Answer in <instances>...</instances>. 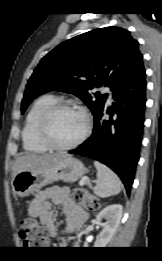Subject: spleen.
<instances>
[{
    "label": "spleen",
    "mask_w": 162,
    "mask_h": 261,
    "mask_svg": "<svg viewBox=\"0 0 162 261\" xmlns=\"http://www.w3.org/2000/svg\"><path fill=\"white\" fill-rule=\"evenodd\" d=\"M94 166L97 169L94 193L101 198L120 193L122 184L118 176L110 168L98 161H94Z\"/></svg>",
    "instance_id": "obj_1"
}]
</instances>
